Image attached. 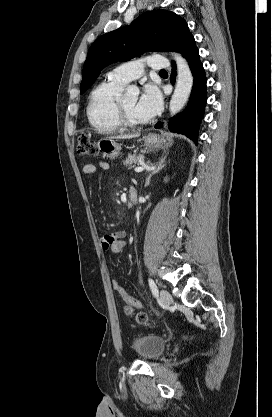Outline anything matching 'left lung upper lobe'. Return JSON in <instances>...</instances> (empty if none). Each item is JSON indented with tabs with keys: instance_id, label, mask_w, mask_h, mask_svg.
Returning a JSON list of instances; mask_svg holds the SVG:
<instances>
[{
	"instance_id": "5c2ea615",
	"label": "left lung upper lobe",
	"mask_w": 272,
	"mask_h": 417,
	"mask_svg": "<svg viewBox=\"0 0 272 417\" xmlns=\"http://www.w3.org/2000/svg\"><path fill=\"white\" fill-rule=\"evenodd\" d=\"M195 47L184 19L166 10L147 11L129 26L109 32L91 45L83 68L80 94L92 86L109 64L152 50L177 51L186 57Z\"/></svg>"
}]
</instances>
